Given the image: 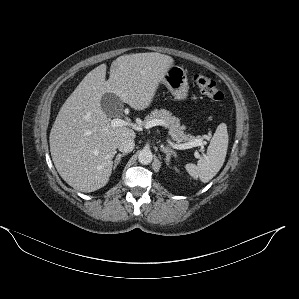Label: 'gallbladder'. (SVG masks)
I'll use <instances>...</instances> for the list:
<instances>
[{
	"mask_svg": "<svg viewBox=\"0 0 299 299\" xmlns=\"http://www.w3.org/2000/svg\"><path fill=\"white\" fill-rule=\"evenodd\" d=\"M101 108L107 116H120L123 114V102L113 93H105L101 98Z\"/></svg>",
	"mask_w": 299,
	"mask_h": 299,
	"instance_id": "gallbladder-1",
	"label": "gallbladder"
}]
</instances>
